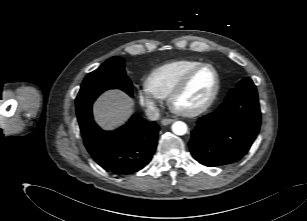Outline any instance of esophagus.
I'll return each mask as SVG.
<instances>
[{
    "mask_svg": "<svg viewBox=\"0 0 307 221\" xmlns=\"http://www.w3.org/2000/svg\"><path fill=\"white\" fill-rule=\"evenodd\" d=\"M175 120L174 119H171V118H164L161 120V124L162 125H169L171 123H173Z\"/></svg>",
    "mask_w": 307,
    "mask_h": 221,
    "instance_id": "34e87169",
    "label": "esophagus"
}]
</instances>
